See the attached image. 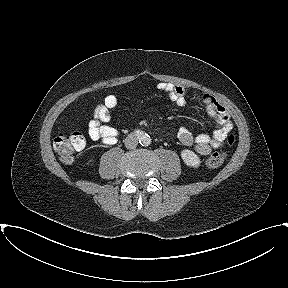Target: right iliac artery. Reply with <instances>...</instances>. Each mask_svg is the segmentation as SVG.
<instances>
[{
  "label": "right iliac artery",
  "instance_id": "obj_1",
  "mask_svg": "<svg viewBox=\"0 0 288 288\" xmlns=\"http://www.w3.org/2000/svg\"><path fill=\"white\" fill-rule=\"evenodd\" d=\"M134 133L137 137H142V135H143V132L140 130H136Z\"/></svg>",
  "mask_w": 288,
  "mask_h": 288
}]
</instances>
